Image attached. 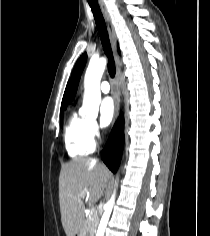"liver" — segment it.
<instances>
[{"label": "liver", "instance_id": "1", "mask_svg": "<svg viewBox=\"0 0 210 236\" xmlns=\"http://www.w3.org/2000/svg\"><path fill=\"white\" fill-rule=\"evenodd\" d=\"M111 176L107 167L90 158H78L62 166L59 176L61 221L66 236L79 234L84 226V203L103 195ZM81 236V235H80Z\"/></svg>", "mask_w": 210, "mask_h": 236}]
</instances>
